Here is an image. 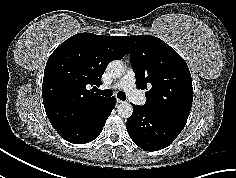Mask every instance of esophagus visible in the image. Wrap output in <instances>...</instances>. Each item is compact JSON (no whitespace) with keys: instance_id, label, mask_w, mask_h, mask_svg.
<instances>
[{"instance_id":"obj_1","label":"esophagus","mask_w":236,"mask_h":178,"mask_svg":"<svg viewBox=\"0 0 236 178\" xmlns=\"http://www.w3.org/2000/svg\"><path fill=\"white\" fill-rule=\"evenodd\" d=\"M122 103H124L123 100L117 99V104H122Z\"/></svg>"}]
</instances>
